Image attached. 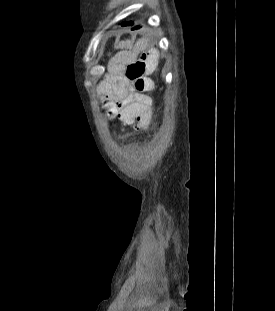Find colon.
<instances>
[{
  "instance_id": "1",
  "label": "colon",
  "mask_w": 275,
  "mask_h": 311,
  "mask_svg": "<svg viewBox=\"0 0 275 311\" xmlns=\"http://www.w3.org/2000/svg\"><path fill=\"white\" fill-rule=\"evenodd\" d=\"M155 63V57H140L128 65L126 74L137 91L146 92L152 88L153 83L148 75L154 69ZM114 128L115 130H122L123 125L122 123H115Z\"/></svg>"
}]
</instances>
